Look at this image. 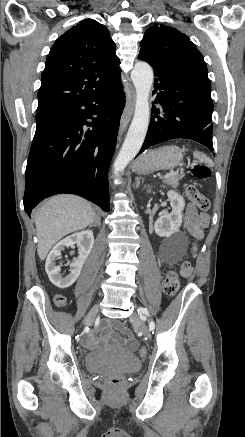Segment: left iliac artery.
I'll use <instances>...</instances> for the list:
<instances>
[{
	"label": "left iliac artery",
	"mask_w": 245,
	"mask_h": 437,
	"mask_svg": "<svg viewBox=\"0 0 245 437\" xmlns=\"http://www.w3.org/2000/svg\"><path fill=\"white\" fill-rule=\"evenodd\" d=\"M138 313L140 314V316H141V318L143 320H145V317L143 315L150 316L149 315V311L146 308H143V307H140L138 309ZM154 328H155V323H154V321L151 320L150 323H149V329L152 331V330H154Z\"/></svg>",
	"instance_id": "44dca946"
}]
</instances>
